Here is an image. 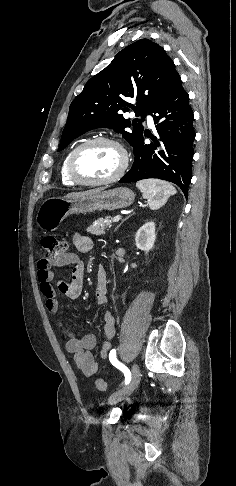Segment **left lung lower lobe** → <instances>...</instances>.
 Instances as JSON below:
<instances>
[{"label":"left lung lower lobe","instance_id":"left-lung-lower-lobe-1","mask_svg":"<svg viewBox=\"0 0 236 486\" xmlns=\"http://www.w3.org/2000/svg\"><path fill=\"white\" fill-rule=\"evenodd\" d=\"M148 112L157 114L153 118L159 140L149 136L153 143L145 145L141 136L133 147V166L119 182L163 179L177 184L187 197L196 134L189 95L182 87L180 76L160 94Z\"/></svg>","mask_w":236,"mask_h":486}]
</instances>
